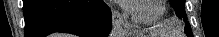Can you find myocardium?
Wrapping results in <instances>:
<instances>
[{"mask_svg":"<svg viewBox=\"0 0 219 37\" xmlns=\"http://www.w3.org/2000/svg\"><path fill=\"white\" fill-rule=\"evenodd\" d=\"M137 1H142V0H137ZM137 1H135V2H137ZM157 6H158V8H157L156 13L151 15V16H140V15L136 14L133 10V7L128 8V13H129L132 21L135 24L149 25V24H153V23L159 21L166 12V1L165 0H158Z\"/></svg>","mask_w":219,"mask_h":37,"instance_id":"1","label":"myocardium"}]
</instances>
